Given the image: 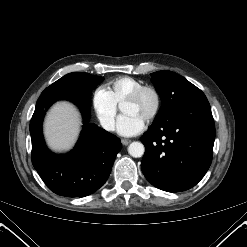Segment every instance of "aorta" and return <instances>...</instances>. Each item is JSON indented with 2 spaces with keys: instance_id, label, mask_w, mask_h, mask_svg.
<instances>
[{
  "instance_id": "aorta-1",
  "label": "aorta",
  "mask_w": 247,
  "mask_h": 247,
  "mask_svg": "<svg viewBox=\"0 0 247 247\" xmlns=\"http://www.w3.org/2000/svg\"><path fill=\"white\" fill-rule=\"evenodd\" d=\"M144 152V145L138 141L132 142L128 147V153L135 158L142 157Z\"/></svg>"
}]
</instances>
